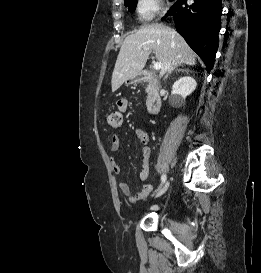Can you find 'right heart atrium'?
Here are the masks:
<instances>
[{
	"label": "right heart atrium",
	"instance_id": "right-heart-atrium-1",
	"mask_svg": "<svg viewBox=\"0 0 261 273\" xmlns=\"http://www.w3.org/2000/svg\"><path fill=\"white\" fill-rule=\"evenodd\" d=\"M136 9L142 20L149 21L164 10L163 0H137Z\"/></svg>",
	"mask_w": 261,
	"mask_h": 273
}]
</instances>
